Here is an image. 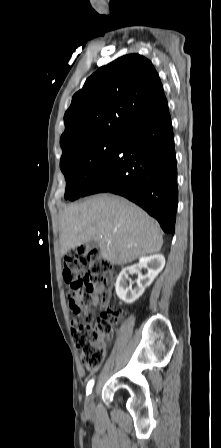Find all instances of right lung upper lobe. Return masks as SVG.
I'll use <instances>...</instances> for the list:
<instances>
[{
  "label": "right lung upper lobe",
  "instance_id": "obj_1",
  "mask_svg": "<svg viewBox=\"0 0 221 448\" xmlns=\"http://www.w3.org/2000/svg\"><path fill=\"white\" fill-rule=\"evenodd\" d=\"M164 100L158 73L147 58L129 54L101 67L73 96L64 115L62 157L87 142L119 136Z\"/></svg>",
  "mask_w": 221,
  "mask_h": 448
}]
</instances>
